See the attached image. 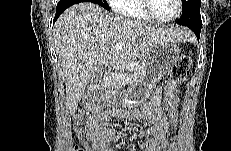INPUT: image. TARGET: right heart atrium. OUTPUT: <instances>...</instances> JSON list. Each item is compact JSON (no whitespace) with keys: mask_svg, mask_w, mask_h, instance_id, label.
<instances>
[{"mask_svg":"<svg viewBox=\"0 0 231 151\" xmlns=\"http://www.w3.org/2000/svg\"><path fill=\"white\" fill-rule=\"evenodd\" d=\"M109 4L114 8L117 9V5L121 2L120 0H109Z\"/></svg>","mask_w":231,"mask_h":151,"instance_id":"right-heart-atrium-1","label":"right heart atrium"}]
</instances>
